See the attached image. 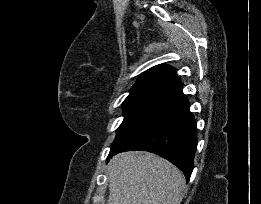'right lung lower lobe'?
<instances>
[{"mask_svg": "<svg viewBox=\"0 0 261 204\" xmlns=\"http://www.w3.org/2000/svg\"><path fill=\"white\" fill-rule=\"evenodd\" d=\"M189 108L181 87L111 147L107 160L122 151H148L176 165L188 182L197 147L196 121Z\"/></svg>", "mask_w": 261, "mask_h": 204, "instance_id": "right-lung-lower-lobe-1", "label": "right lung lower lobe"}]
</instances>
